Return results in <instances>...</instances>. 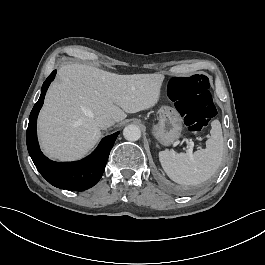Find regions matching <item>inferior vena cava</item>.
Segmentation results:
<instances>
[{
    "instance_id": "inferior-vena-cava-1",
    "label": "inferior vena cava",
    "mask_w": 265,
    "mask_h": 265,
    "mask_svg": "<svg viewBox=\"0 0 265 265\" xmlns=\"http://www.w3.org/2000/svg\"><path fill=\"white\" fill-rule=\"evenodd\" d=\"M114 119L109 115H102L97 118V123L100 128H106L114 124Z\"/></svg>"
}]
</instances>
